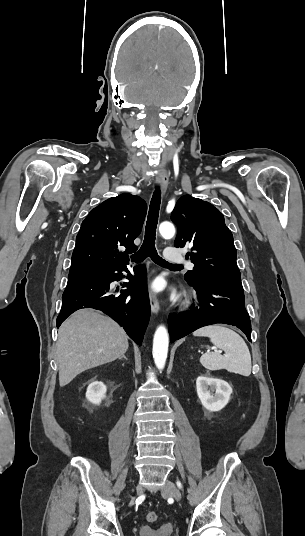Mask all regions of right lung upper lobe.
Returning <instances> with one entry per match:
<instances>
[{
    "label": "right lung upper lobe",
    "mask_w": 305,
    "mask_h": 536,
    "mask_svg": "<svg viewBox=\"0 0 305 536\" xmlns=\"http://www.w3.org/2000/svg\"><path fill=\"white\" fill-rule=\"evenodd\" d=\"M147 205L138 196L123 193L92 209L76 237L69 277L100 273L127 265V254L137 250ZM125 247L126 252L119 251Z\"/></svg>",
    "instance_id": "obj_1"
}]
</instances>
